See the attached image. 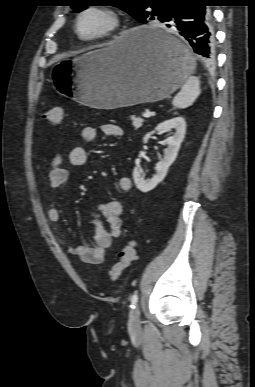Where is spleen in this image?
<instances>
[{"instance_id":"obj_1","label":"spleen","mask_w":255,"mask_h":387,"mask_svg":"<svg viewBox=\"0 0 255 387\" xmlns=\"http://www.w3.org/2000/svg\"><path fill=\"white\" fill-rule=\"evenodd\" d=\"M200 92V82L198 78L190 76L185 81L181 91L174 97L172 104L175 108H187L194 103L200 95Z\"/></svg>"}]
</instances>
